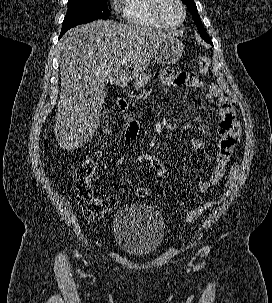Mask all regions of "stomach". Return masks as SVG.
Returning <instances> with one entry per match:
<instances>
[{
    "instance_id": "1",
    "label": "stomach",
    "mask_w": 272,
    "mask_h": 303,
    "mask_svg": "<svg viewBox=\"0 0 272 303\" xmlns=\"http://www.w3.org/2000/svg\"><path fill=\"white\" fill-rule=\"evenodd\" d=\"M183 50L184 45L177 38H166L155 52V61L161 65L175 63L181 58Z\"/></svg>"
}]
</instances>
